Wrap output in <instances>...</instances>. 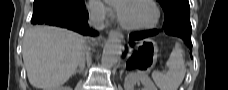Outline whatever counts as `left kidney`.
Here are the masks:
<instances>
[{"instance_id":"left-kidney-1","label":"left kidney","mask_w":228,"mask_h":90,"mask_svg":"<svg viewBox=\"0 0 228 90\" xmlns=\"http://www.w3.org/2000/svg\"><path fill=\"white\" fill-rule=\"evenodd\" d=\"M141 82L144 85V90H157L156 86L150 78L142 73H130L125 77L124 88L125 90H134V85Z\"/></svg>"}]
</instances>
